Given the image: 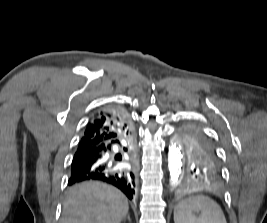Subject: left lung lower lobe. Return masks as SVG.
<instances>
[{"label":"left lung lower lobe","instance_id":"obj_1","mask_svg":"<svg viewBox=\"0 0 267 223\" xmlns=\"http://www.w3.org/2000/svg\"><path fill=\"white\" fill-rule=\"evenodd\" d=\"M180 176H190L185 181V189H224L220 182L225 171H180Z\"/></svg>","mask_w":267,"mask_h":223}]
</instances>
